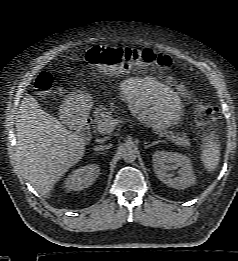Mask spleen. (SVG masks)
<instances>
[{
  "label": "spleen",
  "instance_id": "obj_1",
  "mask_svg": "<svg viewBox=\"0 0 238 261\" xmlns=\"http://www.w3.org/2000/svg\"><path fill=\"white\" fill-rule=\"evenodd\" d=\"M201 160L208 171H214L220 160V147L218 142L209 141L202 149Z\"/></svg>",
  "mask_w": 238,
  "mask_h": 261
}]
</instances>
